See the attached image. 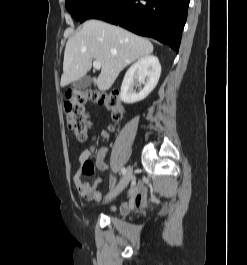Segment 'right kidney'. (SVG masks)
<instances>
[{"instance_id":"right-kidney-1","label":"right kidney","mask_w":247,"mask_h":265,"mask_svg":"<svg viewBox=\"0 0 247 265\" xmlns=\"http://www.w3.org/2000/svg\"><path fill=\"white\" fill-rule=\"evenodd\" d=\"M161 74V65L156 56L148 55L135 62L126 72L120 96L124 103L132 104L145 99L155 88ZM135 79L138 86L143 84L138 92L134 90Z\"/></svg>"}]
</instances>
